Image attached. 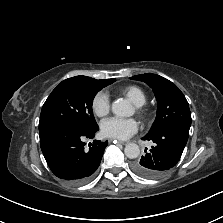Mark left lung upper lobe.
Here are the masks:
<instances>
[{
  "mask_svg": "<svg viewBox=\"0 0 223 223\" xmlns=\"http://www.w3.org/2000/svg\"><path fill=\"white\" fill-rule=\"evenodd\" d=\"M130 79L148 84L157 99V116L148 135L156 134L170 127L181 128L189 132L191 125L189 104L174 83L153 73L136 75Z\"/></svg>",
  "mask_w": 223,
  "mask_h": 223,
  "instance_id": "obj_1",
  "label": "left lung upper lobe"
}]
</instances>
